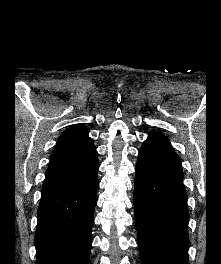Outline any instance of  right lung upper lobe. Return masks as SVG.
Listing matches in <instances>:
<instances>
[{
    "instance_id": "obj_1",
    "label": "right lung upper lobe",
    "mask_w": 221,
    "mask_h": 264,
    "mask_svg": "<svg viewBox=\"0 0 221 264\" xmlns=\"http://www.w3.org/2000/svg\"><path fill=\"white\" fill-rule=\"evenodd\" d=\"M94 152L95 146L86 127H71L59 137L49 166L82 159Z\"/></svg>"
}]
</instances>
